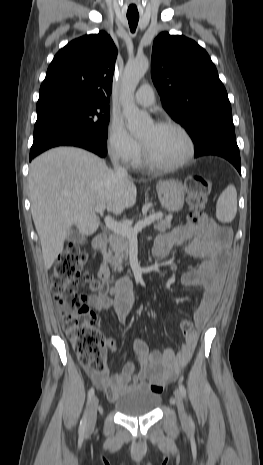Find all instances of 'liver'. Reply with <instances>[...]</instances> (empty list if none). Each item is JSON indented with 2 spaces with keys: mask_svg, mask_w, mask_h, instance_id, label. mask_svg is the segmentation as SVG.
Returning a JSON list of instances; mask_svg holds the SVG:
<instances>
[{
  "mask_svg": "<svg viewBox=\"0 0 263 465\" xmlns=\"http://www.w3.org/2000/svg\"><path fill=\"white\" fill-rule=\"evenodd\" d=\"M28 185L46 269L63 250L73 225L83 235L98 229L95 205L105 204L109 212L120 215L136 203L131 178L119 177L103 159L74 147L54 148L35 158Z\"/></svg>",
  "mask_w": 263,
  "mask_h": 465,
  "instance_id": "1",
  "label": "liver"
}]
</instances>
